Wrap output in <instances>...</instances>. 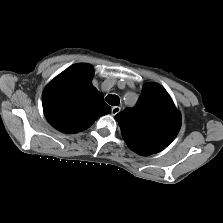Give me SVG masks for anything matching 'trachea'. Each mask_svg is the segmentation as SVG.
I'll use <instances>...</instances> for the list:
<instances>
[{"mask_svg": "<svg viewBox=\"0 0 223 223\" xmlns=\"http://www.w3.org/2000/svg\"><path fill=\"white\" fill-rule=\"evenodd\" d=\"M106 102L112 106H118L120 103V98L117 95H107Z\"/></svg>", "mask_w": 223, "mask_h": 223, "instance_id": "obj_1", "label": "trachea"}]
</instances>
